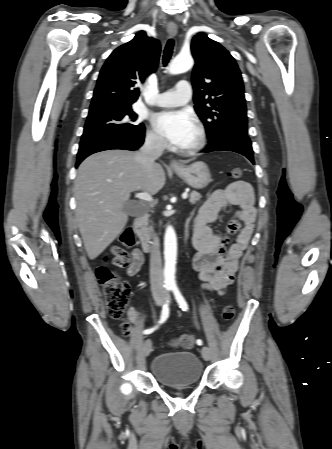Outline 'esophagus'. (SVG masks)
I'll return each mask as SVG.
<instances>
[{
	"label": "esophagus",
	"instance_id": "esophagus-1",
	"mask_svg": "<svg viewBox=\"0 0 332 449\" xmlns=\"http://www.w3.org/2000/svg\"><path fill=\"white\" fill-rule=\"evenodd\" d=\"M167 32L170 36H175L178 32L177 25L173 24V23L168 24ZM170 166L173 168H180V167H182V164L180 162H178L177 160L173 159L170 161Z\"/></svg>",
	"mask_w": 332,
	"mask_h": 449
}]
</instances>
